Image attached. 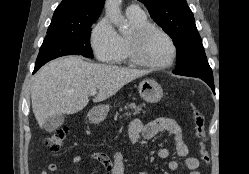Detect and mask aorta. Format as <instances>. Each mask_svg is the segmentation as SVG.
<instances>
[{
	"label": "aorta",
	"mask_w": 249,
	"mask_h": 174,
	"mask_svg": "<svg viewBox=\"0 0 249 174\" xmlns=\"http://www.w3.org/2000/svg\"><path fill=\"white\" fill-rule=\"evenodd\" d=\"M120 2L121 0H106L105 9L110 21L121 33H124L126 31V23L121 14Z\"/></svg>",
	"instance_id": "1"
}]
</instances>
